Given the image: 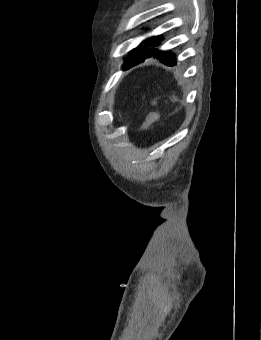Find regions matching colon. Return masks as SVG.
I'll list each match as a JSON object with an SVG mask.
<instances>
[{
	"mask_svg": "<svg viewBox=\"0 0 261 340\" xmlns=\"http://www.w3.org/2000/svg\"><path fill=\"white\" fill-rule=\"evenodd\" d=\"M150 104H151L152 107H155L156 104H157V102H156L155 100H153V101H151ZM158 119H159L158 113H157L155 110H152V111L149 113V115H148V117H147V119H146V121H145V123H144V125H143V128H144V129L149 128V127H150L153 123H155Z\"/></svg>",
	"mask_w": 261,
	"mask_h": 340,
	"instance_id": "colon-1",
	"label": "colon"
}]
</instances>
